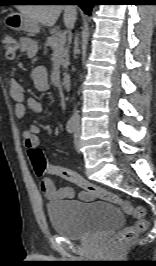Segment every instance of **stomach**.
Returning <instances> with one entry per match:
<instances>
[{"label": "stomach", "instance_id": "1", "mask_svg": "<svg viewBox=\"0 0 156 266\" xmlns=\"http://www.w3.org/2000/svg\"><path fill=\"white\" fill-rule=\"evenodd\" d=\"M7 24L15 30H22L30 33L39 32L38 24L22 13H12L7 19Z\"/></svg>", "mask_w": 156, "mask_h": 266}]
</instances>
